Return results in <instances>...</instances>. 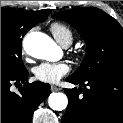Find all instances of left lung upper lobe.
<instances>
[{
	"instance_id": "obj_1",
	"label": "left lung upper lobe",
	"mask_w": 123,
	"mask_h": 123,
	"mask_svg": "<svg viewBox=\"0 0 123 123\" xmlns=\"http://www.w3.org/2000/svg\"><path fill=\"white\" fill-rule=\"evenodd\" d=\"M52 17L76 28L87 44L86 56L71 76L86 79L106 71H123V28L112 16L87 7L62 11Z\"/></svg>"
}]
</instances>
